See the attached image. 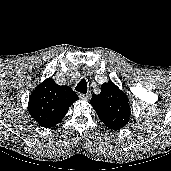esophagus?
<instances>
[{
	"mask_svg": "<svg viewBox=\"0 0 171 171\" xmlns=\"http://www.w3.org/2000/svg\"><path fill=\"white\" fill-rule=\"evenodd\" d=\"M79 98H80V99H83V100H89V99H90V94H83V93H80V94H79Z\"/></svg>",
	"mask_w": 171,
	"mask_h": 171,
	"instance_id": "esophagus-1",
	"label": "esophagus"
}]
</instances>
